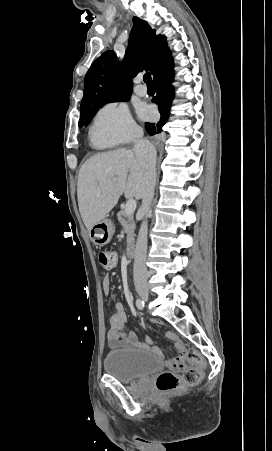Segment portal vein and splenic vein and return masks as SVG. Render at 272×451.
<instances>
[{
  "label": "portal vein and splenic vein",
  "mask_w": 272,
  "mask_h": 451,
  "mask_svg": "<svg viewBox=\"0 0 272 451\" xmlns=\"http://www.w3.org/2000/svg\"><path fill=\"white\" fill-rule=\"evenodd\" d=\"M136 210V200H128L125 208V214H134Z\"/></svg>",
  "instance_id": "portal-vein-and-splenic-vein-1"
}]
</instances>
